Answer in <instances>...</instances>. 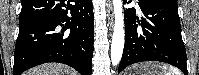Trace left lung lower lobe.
Returning <instances> with one entry per match:
<instances>
[{"label": "left lung lower lobe", "instance_id": "0a47b994", "mask_svg": "<svg viewBox=\"0 0 199 75\" xmlns=\"http://www.w3.org/2000/svg\"><path fill=\"white\" fill-rule=\"evenodd\" d=\"M138 5L141 20L134 8L124 11L125 45L118 72L137 62L160 61L187 75L177 0H139Z\"/></svg>", "mask_w": 199, "mask_h": 75}]
</instances>
